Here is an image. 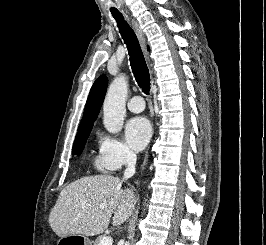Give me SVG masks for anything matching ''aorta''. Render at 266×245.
<instances>
[{
  "label": "aorta",
  "instance_id": "762f6f07",
  "mask_svg": "<svg viewBox=\"0 0 266 245\" xmlns=\"http://www.w3.org/2000/svg\"><path fill=\"white\" fill-rule=\"evenodd\" d=\"M127 92V76H123V74L115 76L103 102V123L108 133H119L123 127Z\"/></svg>",
  "mask_w": 266,
  "mask_h": 245
}]
</instances>
